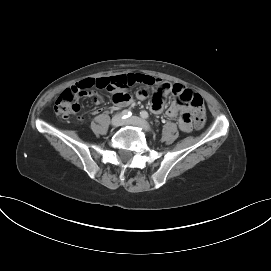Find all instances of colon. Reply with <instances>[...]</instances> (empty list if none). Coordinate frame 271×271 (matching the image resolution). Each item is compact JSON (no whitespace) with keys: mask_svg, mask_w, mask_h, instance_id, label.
Here are the masks:
<instances>
[{"mask_svg":"<svg viewBox=\"0 0 271 271\" xmlns=\"http://www.w3.org/2000/svg\"><path fill=\"white\" fill-rule=\"evenodd\" d=\"M93 84L75 85L70 89L64 90L57 98L54 106L55 112L63 118L79 112L80 105L78 97L84 93V90L92 87ZM97 86V81L95 82ZM179 101L192 106L196 113L194 115V126L197 129L203 127L205 122L204 102L199 94L187 93L179 98Z\"/></svg>","mask_w":271,"mask_h":271,"instance_id":"obj_1","label":"colon"}]
</instances>
